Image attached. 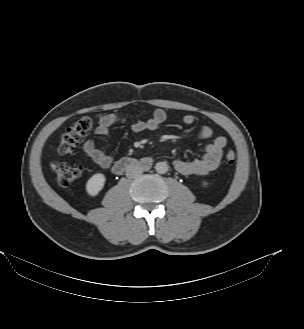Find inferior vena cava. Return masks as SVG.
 <instances>
[{
    "label": "inferior vena cava",
    "instance_id": "inferior-vena-cava-1",
    "mask_svg": "<svg viewBox=\"0 0 304 329\" xmlns=\"http://www.w3.org/2000/svg\"><path fill=\"white\" fill-rule=\"evenodd\" d=\"M143 172V169L137 165H131L126 170V176L128 178H134L139 176Z\"/></svg>",
    "mask_w": 304,
    "mask_h": 329
}]
</instances>
